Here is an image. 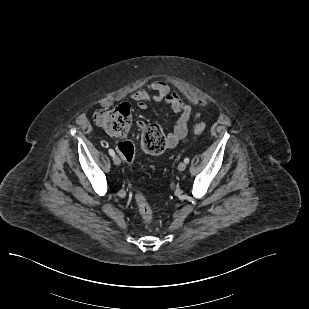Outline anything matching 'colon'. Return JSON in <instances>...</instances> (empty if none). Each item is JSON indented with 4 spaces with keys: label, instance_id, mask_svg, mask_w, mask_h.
I'll return each instance as SVG.
<instances>
[{
    "label": "colon",
    "instance_id": "obj_1",
    "mask_svg": "<svg viewBox=\"0 0 309 309\" xmlns=\"http://www.w3.org/2000/svg\"><path fill=\"white\" fill-rule=\"evenodd\" d=\"M95 123L106 133L119 139L117 151L128 164H131L135 156V147L129 135L133 123L129 108L121 105L113 109H102L94 115ZM141 130V148L148 155H160L167 148V138L162 128L157 124H139ZM206 129L205 124L200 123L194 127V132L200 134ZM135 200L139 214L145 223L153 219V212L145 196L136 192Z\"/></svg>",
    "mask_w": 309,
    "mask_h": 309
}]
</instances>
